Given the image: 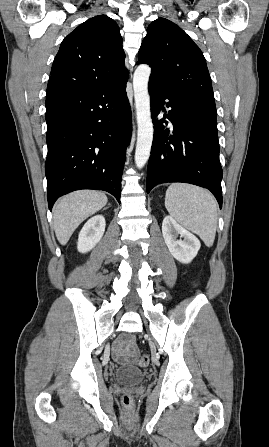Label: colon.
I'll use <instances>...</instances> for the list:
<instances>
[{"label":"colon","instance_id":"obj_1","mask_svg":"<svg viewBox=\"0 0 269 447\" xmlns=\"http://www.w3.org/2000/svg\"><path fill=\"white\" fill-rule=\"evenodd\" d=\"M150 359L147 355H141L138 358V364L141 367H147L149 365ZM122 403L125 406H129L133 403V396L130 393H125L122 397Z\"/></svg>","mask_w":269,"mask_h":447}]
</instances>
